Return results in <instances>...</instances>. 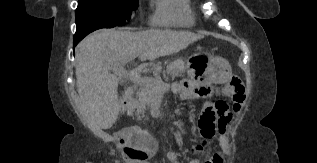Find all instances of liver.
I'll use <instances>...</instances> for the list:
<instances>
[{
	"label": "liver",
	"instance_id": "liver-1",
	"mask_svg": "<svg viewBox=\"0 0 317 163\" xmlns=\"http://www.w3.org/2000/svg\"><path fill=\"white\" fill-rule=\"evenodd\" d=\"M202 38L188 31L169 29L141 32L101 29L85 37L77 46L75 73L80 109L90 126L96 130L109 129L118 118L119 79L111 74L112 65L127 57L154 60L179 52Z\"/></svg>",
	"mask_w": 317,
	"mask_h": 163
}]
</instances>
